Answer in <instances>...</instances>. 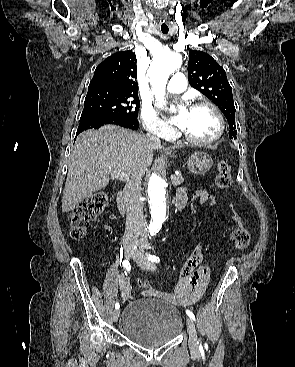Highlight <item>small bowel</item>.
<instances>
[{"instance_id": "1", "label": "small bowel", "mask_w": 295, "mask_h": 367, "mask_svg": "<svg viewBox=\"0 0 295 367\" xmlns=\"http://www.w3.org/2000/svg\"><path fill=\"white\" fill-rule=\"evenodd\" d=\"M205 190H197L196 196L200 200L203 196H208ZM210 196V195H209ZM188 201L187 191L181 187L176 192V202L184 205ZM203 201V200H202ZM205 202V201H203ZM204 205V203L202 204ZM204 258V245L199 244L188 256L180 270V282L175 291V300L182 305H191L198 302L204 295L206 288L210 284L211 269L209 266L201 265ZM121 297L127 300L131 297L132 288L128 278L124 277L121 281Z\"/></svg>"}]
</instances>
